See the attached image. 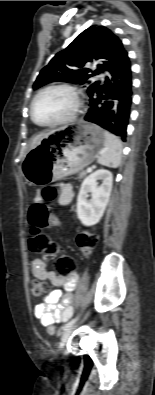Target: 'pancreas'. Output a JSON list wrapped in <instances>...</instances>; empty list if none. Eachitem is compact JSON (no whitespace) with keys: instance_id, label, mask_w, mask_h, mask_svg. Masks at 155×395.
I'll return each instance as SVG.
<instances>
[{"instance_id":"pancreas-1","label":"pancreas","mask_w":155,"mask_h":395,"mask_svg":"<svg viewBox=\"0 0 155 395\" xmlns=\"http://www.w3.org/2000/svg\"><path fill=\"white\" fill-rule=\"evenodd\" d=\"M85 175H86V172L82 171L79 173V178L82 179V178H84Z\"/></svg>"}]
</instances>
